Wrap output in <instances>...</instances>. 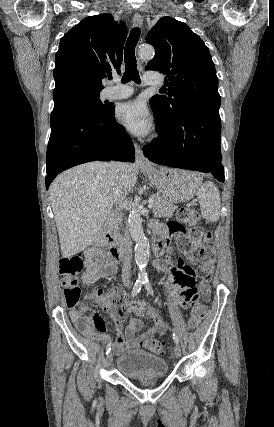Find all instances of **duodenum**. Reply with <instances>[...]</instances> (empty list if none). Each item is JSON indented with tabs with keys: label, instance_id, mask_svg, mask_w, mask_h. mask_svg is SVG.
I'll list each match as a JSON object with an SVG mask.
<instances>
[{
	"label": "duodenum",
	"instance_id": "duodenum-1",
	"mask_svg": "<svg viewBox=\"0 0 274 427\" xmlns=\"http://www.w3.org/2000/svg\"><path fill=\"white\" fill-rule=\"evenodd\" d=\"M165 234L164 228H154L153 248L156 255H161L166 248L167 240ZM99 242L101 245L109 247L110 255L114 261L120 262L124 258V246L114 238L110 223H107L102 229Z\"/></svg>",
	"mask_w": 274,
	"mask_h": 427
}]
</instances>
